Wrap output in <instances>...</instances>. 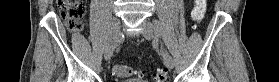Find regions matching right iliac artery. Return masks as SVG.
<instances>
[{"mask_svg":"<svg viewBox=\"0 0 279 82\" xmlns=\"http://www.w3.org/2000/svg\"><path fill=\"white\" fill-rule=\"evenodd\" d=\"M116 51H119V45L116 43Z\"/></svg>","mask_w":279,"mask_h":82,"instance_id":"82829eb1","label":"right iliac artery"}]
</instances>
